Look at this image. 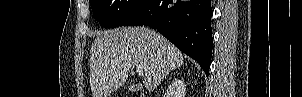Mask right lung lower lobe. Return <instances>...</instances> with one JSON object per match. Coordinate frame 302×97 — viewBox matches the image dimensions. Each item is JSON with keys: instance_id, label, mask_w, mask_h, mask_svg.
Listing matches in <instances>:
<instances>
[{"instance_id": "obj_1", "label": "right lung lower lobe", "mask_w": 302, "mask_h": 97, "mask_svg": "<svg viewBox=\"0 0 302 97\" xmlns=\"http://www.w3.org/2000/svg\"><path fill=\"white\" fill-rule=\"evenodd\" d=\"M211 0H147L123 25H149L188 56L206 76L212 55Z\"/></svg>"}]
</instances>
